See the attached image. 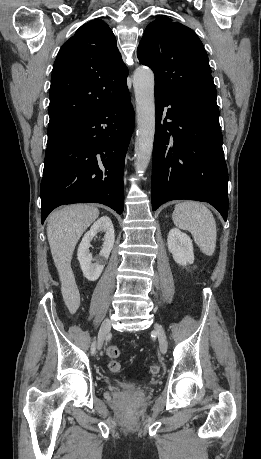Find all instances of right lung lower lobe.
Instances as JSON below:
<instances>
[{
  "label": "right lung lower lobe",
  "instance_id": "obj_1",
  "mask_svg": "<svg viewBox=\"0 0 261 459\" xmlns=\"http://www.w3.org/2000/svg\"><path fill=\"white\" fill-rule=\"evenodd\" d=\"M134 128L128 89L47 145L40 187L41 221L56 207L102 203L124 210V161Z\"/></svg>",
  "mask_w": 261,
  "mask_h": 459
}]
</instances>
